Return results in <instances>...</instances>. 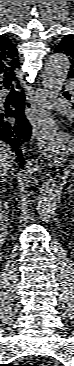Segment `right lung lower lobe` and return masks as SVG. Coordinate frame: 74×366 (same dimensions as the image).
Returning a JSON list of instances; mask_svg holds the SVG:
<instances>
[{
  "instance_id": "98d812e1",
  "label": "right lung lower lobe",
  "mask_w": 74,
  "mask_h": 366,
  "mask_svg": "<svg viewBox=\"0 0 74 366\" xmlns=\"http://www.w3.org/2000/svg\"><path fill=\"white\" fill-rule=\"evenodd\" d=\"M25 96L23 91L9 104L0 102V141L10 144L15 151L19 165L25 164L22 146L30 139L31 129L24 115ZM13 118L16 120L14 121Z\"/></svg>"
}]
</instances>
